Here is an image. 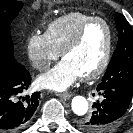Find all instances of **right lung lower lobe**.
<instances>
[{
	"mask_svg": "<svg viewBox=\"0 0 133 133\" xmlns=\"http://www.w3.org/2000/svg\"><path fill=\"white\" fill-rule=\"evenodd\" d=\"M30 83L31 76L22 64L0 69V130H18L34 114L40 92L24 95Z\"/></svg>",
	"mask_w": 133,
	"mask_h": 133,
	"instance_id": "98d812e1",
	"label": "right lung lower lobe"
}]
</instances>
